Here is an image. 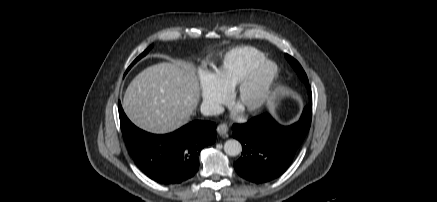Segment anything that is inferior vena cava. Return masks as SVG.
I'll list each match as a JSON object with an SVG mask.
<instances>
[{"mask_svg": "<svg viewBox=\"0 0 437 202\" xmlns=\"http://www.w3.org/2000/svg\"><path fill=\"white\" fill-rule=\"evenodd\" d=\"M222 110L223 108L216 103L203 102L201 104V113L205 116H213V115L220 114Z\"/></svg>", "mask_w": 437, "mask_h": 202, "instance_id": "1", "label": "inferior vena cava"}]
</instances>
